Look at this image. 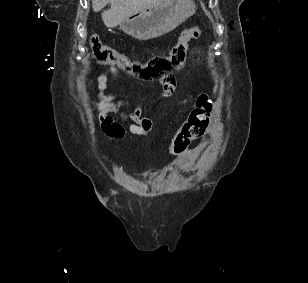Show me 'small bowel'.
Returning a JSON list of instances; mask_svg holds the SVG:
<instances>
[{
	"label": "small bowel",
	"instance_id": "obj_1",
	"mask_svg": "<svg viewBox=\"0 0 308 283\" xmlns=\"http://www.w3.org/2000/svg\"><path fill=\"white\" fill-rule=\"evenodd\" d=\"M108 74H111L114 80L117 79L118 70L110 65L107 69L96 77L98 96L93 101V108L98 115L102 131L109 137L120 139L125 135L126 129L132 134L142 137L147 136L153 129L154 122L151 117L143 113L142 102L124 109L127 106L119 96L114 93H107ZM92 80L89 81V83ZM175 89V86L166 87L162 85L161 99L169 97ZM113 115H119L121 122L126 123V128L113 119ZM193 167L191 161L187 162L182 169L189 170Z\"/></svg>",
	"mask_w": 308,
	"mask_h": 283
}]
</instances>
